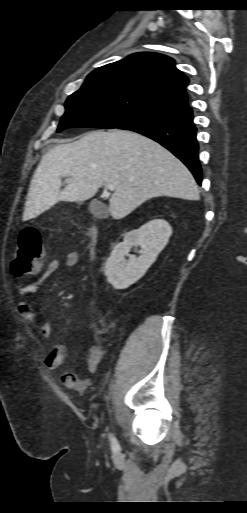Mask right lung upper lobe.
<instances>
[{"label":"right lung upper lobe","mask_w":247,"mask_h":513,"mask_svg":"<svg viewBox=\"0 0 247 513\" xmlns=\"http://www.w3.org/2000/svg\"><path fill=\"white\" fill-rule=\"evenodd\" d=\"M189 79L174 60L158 53H135L91 72L79 91L118 88L142 94L168 110L187 106Z\"/></svg>","instance_id":"right-lung-upper-lobe-1"}]
</instances>
